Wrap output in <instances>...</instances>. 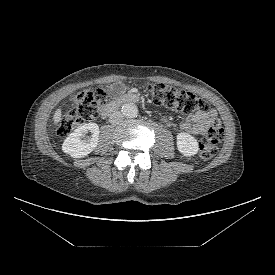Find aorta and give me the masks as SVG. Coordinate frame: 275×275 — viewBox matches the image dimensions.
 Here are the masks:
<instances>
[{
	"label": "aorta",
	"mask_w": 275,
	"mask_h": 275,
	"mask_svg": "<svg viewBox=\"0 0 275 275\" xmlns=\"http://www.w3.org/2000/svg\"><path fill=\"white\" fill-rule=\"evenodd\" d=\"M122 113L127 118H135L138 115V108L133 103H126L122 106Z\"/></svg>",
	"instance_id": "1"
}]
</instances>
